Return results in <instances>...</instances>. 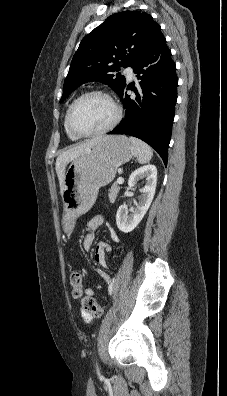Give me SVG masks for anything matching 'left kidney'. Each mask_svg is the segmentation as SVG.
<instances>
[{
    "label": "left kidney",
    "instance_id": "obj_1",
    "mask_svg": "<svg viewBox=\"0 0 227 396\" xmlns=\"http://www.w3.org/2000/svg\"><path fill=\"white\" fill-rule=\"evenodd\" d=\"M142 179H145V186L140 189L141 195L136 208H131L128 213L127 206L121 205L117 211V227L124 233H129L137 227L151 205L157 183L156 166L148 164L132 172L128 180L129 187H134Z\"/></svg>",
    "mask_w": 227,
    "mask_h": 396
}]
</instances>
